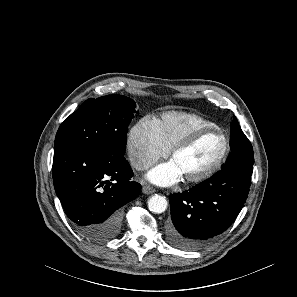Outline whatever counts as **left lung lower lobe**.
Returning <instances> with one entry per match:
<instances>
[{
  "mask_svg": "<svg viewBox=\"0 0 297 297\" xmlns=\"http://www.w3.org/2000/svg\"><path fill=\"white\" fill-rule=\"evenodd\" d=\"M252 171L253 167L222 169L195 187L170 195L169 243L198 250L228 229L248 197Z\"/></svg>",
  "mask_w": 297,
  "mask_h": 297,
  "instance_id": "obj_1",
  "label": "left lung lower lobe"
}]
</instances>
